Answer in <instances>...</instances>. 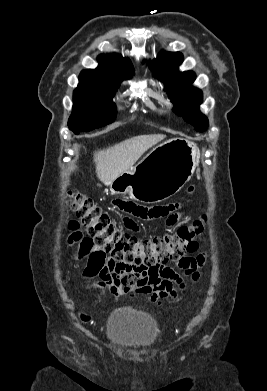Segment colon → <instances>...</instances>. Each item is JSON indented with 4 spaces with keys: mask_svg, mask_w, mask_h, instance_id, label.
Returning <instances> with one entry per match:
<instances>
[{
    "mask_svg": "<svg viewBox=\"0 0 267 391\" xmlns=\"http://www.w3.org/2000/svg\"><path fill=\"white\" fill-rule=\"evenodd\" d=\"M66 201L87 229V236L75 240L85 252L109 254L127 266L156 271L168 262H181L186 253L197 250L205 219L183 225L175 233L138 239L121 231L108 214L91 199L75 191H67Z\"/></svg>",
    "mask_w": 267,
    "mask_h": 391,
    "instance_id": "colon-1",
    "label": "colon"
}]
</instances>
